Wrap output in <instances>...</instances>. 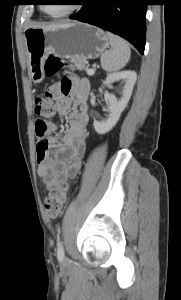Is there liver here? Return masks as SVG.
Wrapping results in <instances>:
<instances>
[{
	"label": "liver",
	"mask_w": 181,
	"mask_h": 300,
	"mask_svg": "<svg viewBox=\"0 0 181 300\" xmlns=\"http://www.w3.org/2000/svg\"><path fill=\"white\" fill-rule=\"evenodd\" d=\"M56 26H59V24L39 25V26H36V27H37V28L48 29V28H53V27H56Z\"/></svg>",
	"instance_id": "6515ba94"
}]
</instances>
